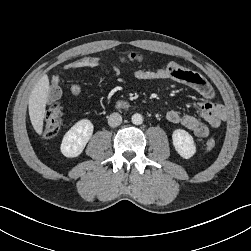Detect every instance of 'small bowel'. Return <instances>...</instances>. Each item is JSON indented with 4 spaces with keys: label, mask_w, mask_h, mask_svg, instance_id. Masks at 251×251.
Here are the masks:
<instances>
[{
    "label": "small bowel",
    "mask_w": 251,
    "mask_h": 251,
    "mask_svg": "<svg viewBox=\"0 0 251 251\" xmlns=\"http://www.w3.org/2000/svg\"><path fill=\"white\" fill-rule=\"evenodd\" d=\"M102 65V61L97 57H83L67 63L64 68L66 70H77L82 68H97ZM114 73H118L113 68ZM138 80H172L180 84H184L205 99L214 97V90L211 84L200 74L189 70L176 62H169L158 69H139L134 73ZM59 75H53L51 78V87L49 93V101L55 102L61 96L59 87ZM70 92L74 96L82 93V87L79 84H73ZM203 120H200L191 114H181L177 110H170L166 114V119L173 124H181L188 130L192 131L197 137H206L210 132V128L218 127L224 119V109L221 104L211 101H205L199 104Z\"/></svg>",
    "instance_id": "small-bowel-1"
}]
</instances>
